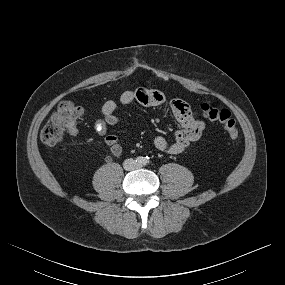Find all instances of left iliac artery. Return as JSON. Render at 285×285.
<instances>
[{
    "label": "left iliac artery",
    "mask_w": 285,
    "mask_h": 285,
    "mask_svg": "<svg viewBox=\"0 0 285 285\" xmlns=\"http://www.w3.org/2000/svg\"><path fill=\"white\" fill-rule=\"evenodd\" d=\"M149 163V157H146L143 161V164L147 165Z\"/></svg>",
    "instance_id": "44dca946"
}]
</instances>
